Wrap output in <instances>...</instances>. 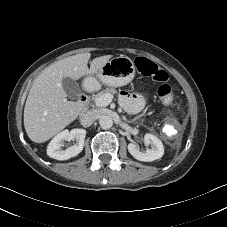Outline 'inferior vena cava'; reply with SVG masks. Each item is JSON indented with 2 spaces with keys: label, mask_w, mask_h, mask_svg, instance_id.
I'll use <instances>...</instances> for the list:
<instances>
[{
  "label": "inferior vena cava",
  "mask_w": 227,
  "mask_h": 227,
  "mask_svg": "<svg viewBox=\"0 0 227 227\" xmlns=\"http://www.w3.org/2000/svg\"><path fill=\"white\" fill-rule=\"evenodd\" d=\"M97 117H98V113L96 110H88L82 115L80 119L81 125L83 127H89L95 122Z\"/></svg>",
  "instance_id": "inferior-vena-cava-1"
}]
</instances>
